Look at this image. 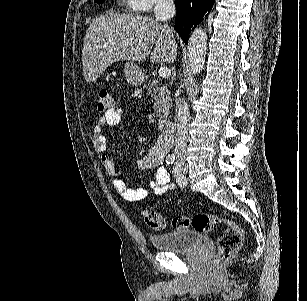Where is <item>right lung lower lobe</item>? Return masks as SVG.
Returning a JSON list of instances; mask_svg holds the SVG:
<instances>
[{"mask_svg":"<svg viewBox=\"0 0 307 301\" xmlns=\"http://www.w3.org/2000/svg\"><path fill=\"white\" fill-rule=\"evenodd\" d=\"M213 3L214 0H175L177 17L174 29L185 44L191 29L210 12Z\"/></svg>","mask_w":307,"mask_h":301,"instance_id":"right-lung-lower-lobe-1","label":"right lung lower lobe"}]
</instances>
